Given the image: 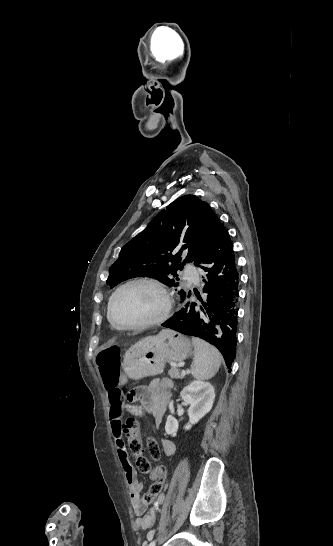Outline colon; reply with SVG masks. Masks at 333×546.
<instances>
[{
  "mask_svg": "<svg viewBox=\"0 0 333 546\" xmlns=\"http://www.w3.org/2000/svg\"><path fill=\"white\" fill-rule=\"evenodd\" d=\"M96 365L101 374L103 383L109 392L113 403L120 401V391L117 389L119 383L120 350L116 345H108L102 348L96 355ZM142 408L141 401H135V412L139 413ZM138 419L136 416L129 417L123 427L127 432L130 451L136 460V467L143 474H154L156 479L147 491L144 502L146 504L163 499L166 469L164 466L152 468L150 460L146 456V449L138 431ZM147 451L151 458H159V447L152 438L147 440Z\"/></svg>",
  "mask_w": 333,
  "mask_h": 546,
  "instance_id": "obj_1",
  "label": "colon"
}]
</instances>
